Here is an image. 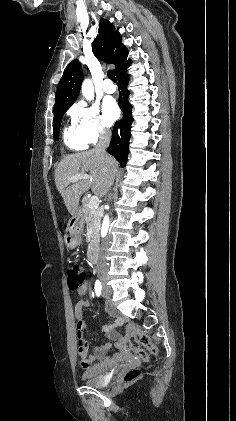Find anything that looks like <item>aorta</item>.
Instances as JSON below:
<instances>
[{
	"label": "aorta",
	"instance_id": "obj_1",
	"mask_svg": "<svg viewBox=\"0 0 236 421\" xmlns=\"http://www.w3.org/2000/svg\"><path fill=\"white\" fill-rule=\"evenodd\" d=\"M93 90H94V88H93V84H92L91 80H89V78H86V80H84V82L82 84V92H83L84 96H86V98H88V100H92ZM109 225H110L109 217H108V215H106V217H104L103 223H102V229H101L102 237H106V235L108 233Z\"/></svg>",
	"mask_w": 236,
	"mask_h": 421
}]
</instances>
